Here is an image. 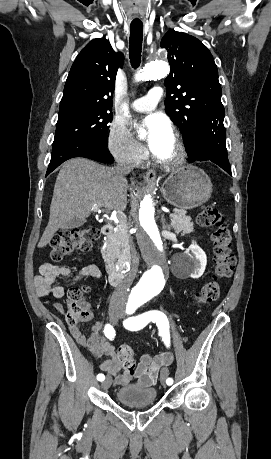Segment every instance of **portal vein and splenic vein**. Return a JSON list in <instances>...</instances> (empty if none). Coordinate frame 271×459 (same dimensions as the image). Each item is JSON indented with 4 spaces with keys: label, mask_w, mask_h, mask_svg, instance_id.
Instances as JSON below:
<instances>
[{
    "label": "portal vein and splenic vein",
    "mask_w": 271,
    "mask_h": 459,
    "mask_svg": "<svg viewBox=\"0 0 271 459\" xmlns=\"http://www.w3.org/2000/svg\"><path fill=\"white\" fill-rule=\"evenodd\" d=\"M93 212H101V210H99V208H92ZM175 212H171V214H169V217H175Z\"/></svg>",
    "instance_id": "18ae733b"
}]
</instances>
